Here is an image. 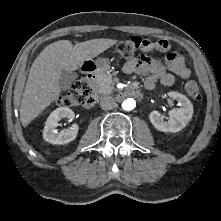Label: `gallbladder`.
I'll return each mask as SVG.
<instances>
[{
	"label": "gallbladder",
	"mask_w": 221,
	"mask_h": 221,
	"mask_svg": "<svg viewBox=\"0 0 221 221\" xmlns=\"http://www.w3.org/2000/svg\"><path fill=\"white\" fill-rule=\"evenodd\" d=\"M78 75L73 71H61L59 85L61 89L67 90L71 87L72 83L77 79Z\"/></svg>",
	"instance_id": "1"
}]
</instances>
